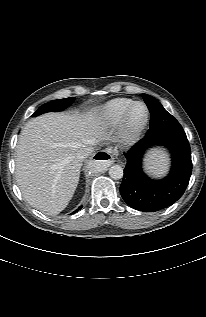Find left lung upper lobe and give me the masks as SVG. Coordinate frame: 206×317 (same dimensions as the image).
<instances>
[{
  "label": "left lung upper lobe",
  "mask_w": 206,
  "mask_h": 317,
  "mask_svg": "<svg viewBox=\"0 0 206 317\" xmlns=\"http://www.w3.org/2000/svg\"><path fill=\"white\" fill-rule=\"evenodd\" d=\"M142 97L151 113L150 129L146 136L185 134L180 123L163 108L158 100L147 94H142Z\"/></svg>",
  "instance_id": "5c2ea615"
}]
</instances>
